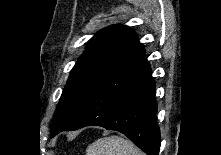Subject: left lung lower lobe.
Returning <instances> with one entry per match:
<instances>
[{"mask_svg":"<svg viewBox=\"0 0 221 155\" xmlns=\"http://www.w3.org/2000/svg\"><path fill=\"white\" fill-rule=\"evenodd\" d=\"M156 112L155 82L142 49L99 85L75 119L61 131L101 126L123 133L147 155H158L160 130Z\"/></svg>","mask_w":221,"mask_h":155,"instance_id":"obj_1","label":"left lung lower lobe"}]
</instances>
